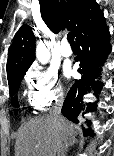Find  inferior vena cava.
I'll list each match as a JSON object with an SVG mask.
<instances>
[{
    "mask_svg": "<svg viewBox=\"0 0 114 156\" xmlns=\"http://www.w3.org/2000/svg\"><path fill=\"white\" fill-rule=\"evenodd\" d=\"M63 102H64V94L62 92H59L57 94L55 104L50 110V117H52L53 119L57 121L61 119L60 113H61ZM66 144H67L66 141L62 144L58 156H65Z\"/></svg>",
    "mask_w": 114,
    "mask_h": 156,
    "instance_id": "inferior-vena-cava-1",
    "label": "inferior vena cava"
}]
</instances>
